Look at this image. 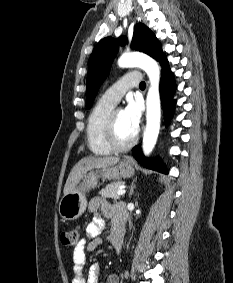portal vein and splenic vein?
<instances>
[{"label": "portal vein and splenic vein", "instance_id": "18ae733b", "mask_svg": "<svg viewBox=\"0 0 233 283\" xmlns=\"http://www.w3.org/2000/svg\"><path fill=\"white\" fill-rule=\"evenodd\" d=\"M126 190L124 188H120L118 191H117V194L118 195H123L125 194Z\"/></svg>", "mask_w": 233, "mask_h": 283}]
</instances>
